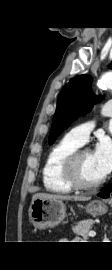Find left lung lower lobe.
<instances>
[{
  "label": "left lung lower lobe",
  "instance_id": "left-lung-lower-lobe-1",
  "mask_svg": "<svg viewBox=\"0 0 112 270\" xmlns=\"http://www.w3.org/2000/svg\"><path fill=\"white\" fill-rule=\"evenodd\" d=\"M110 191H112V185L111 186H106L105 189L98 194L99 197L102 198H108Z\"/></svg>",
  "mask_w": 112,
  "mask_h": 270
}]
</instances>
